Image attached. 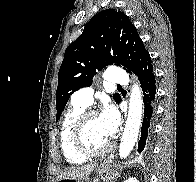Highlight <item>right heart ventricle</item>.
<instances>
[{
  "label": "right heart ventricle",
  "mask_w": 196,
  "mask_h": 182,
  "mask_svg": "<svg viewBox=\"0 0 196 182\" xmlns=\"http://www.w3.org/2000/svg\"><path fill=\"white\" fill-rule=\"evenodd\" d=\"M85 109L86 106L72 101L60 124L59 140L61 150L66 161L72 165L82 164L86 160V157L82 156L74 150L71 142L73 126L81 113L85 111Z\"/></svg>",
  "instance_id": "e07e8e85"
}]
</instances>
